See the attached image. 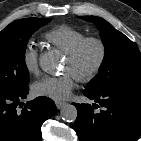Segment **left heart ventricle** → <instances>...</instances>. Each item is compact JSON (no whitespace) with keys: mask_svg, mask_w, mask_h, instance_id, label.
<instances>
[{"mask_svg":"<svg viewBox=\"0 0 141 141\" xmlns=\"http://www.w3.org/2000/svg\"><path fill=\"white\" fill-rule=\"evenodd\" d=\"M96 57H97L96 48L93 47V46L89 47L86 50V52L84 53L79 67L81 69H88L89 67H91L93 65V63L96 60ZM64 70L67 71V72H70V73H72L74 75V67L72 66V64L70 63L68 58H66V60H65Z\"/></svg>","mask_w":141,"mask_h":141,"instance_id":"obj_1","label":"left heart ventricle"}]
</instances>
